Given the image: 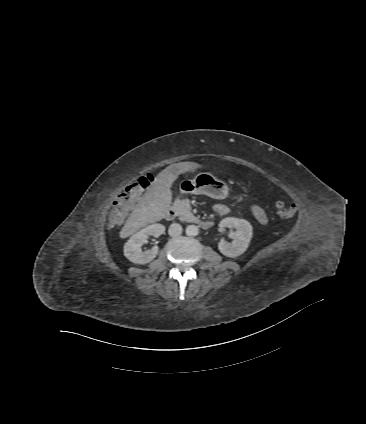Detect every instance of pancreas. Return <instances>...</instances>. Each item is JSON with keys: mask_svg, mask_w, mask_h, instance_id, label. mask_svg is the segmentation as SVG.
<instances>
[{"mask_svg": "<svg viewBox=\"0 0 366 424\" xmlns=\"http://www.w3.org/2000/svg\"><path fill=\"white\" fill-rule=\"evenodd\" d=\"M175 206L181 221H196L195 216L191 212L190 201L188 199L176 200Z\"/></svg>", "mask_w": 366, "mask_h": 424, "instance_id": "cf45deb5", "label": "pancreas"}]
</instances>
